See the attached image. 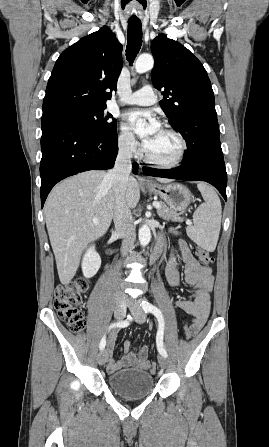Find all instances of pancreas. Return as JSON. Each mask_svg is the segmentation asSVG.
Listing matches in <instances>:
<instances>
[{
	"mask_svg": "<svg viewBox=\"0 0 269 447\" xmlns=\"http://www.w3.org/2000/svg\"><path fill=\"white\" fill-rule=\"evenodd\" d=\"M161 208H157V214L159 218H163V220H170V222H183L182 218H180L177 212H173L170 210L164 202H159Z\"/></svg>",
	"mask_w": 269,
	"mask_h": 447,
	"instance_id": "obj_1",
	"label": "pancreas"
}]
</instances>
